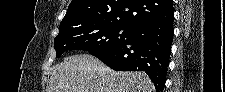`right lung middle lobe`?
Returning <instances> with one entry per match:
<instances>
[{"label":"right lung middle lobe","mask_w":225,"mask_h":92,"mask_svg":"<svg viewBox=\"0 0 225 92\" xmlns=\"http://www.w3.org/2000/svg\"><path fill=\"white\" fill-rule=\"evenodd\" d=\"M134 28L118 22L82 21L74 27L59 30L54 40L56 57L68 50L93 53L126 41Z\"/></svg>","instance_id":"right-lung-middle-lobe-1"}]
</instances>
